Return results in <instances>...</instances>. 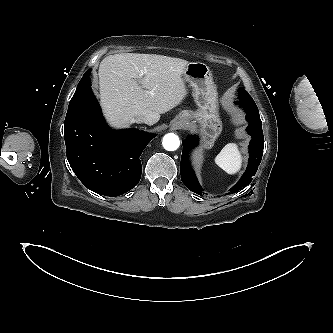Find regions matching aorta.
Instances as JSON below:
<instances>
[{"mask_svg": "<svg viewBox=\"0 0 333 333\" xmlns=\"http://www.w3.org/2000/svg\"><path fill=\"white\" fill-rule=\"evenodd\" d=\"M162 144L167 151H175L180 146V140L176 134L168 133L163 137Z\"/></svg>", "mask_w": 333, "mask_h": 333, "instance_id": "762f6f07", "label": "aorta"}]
</instances>
